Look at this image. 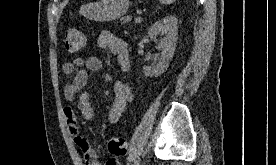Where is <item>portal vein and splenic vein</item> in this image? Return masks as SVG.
Segmentation results:
<instances>
[{
	"label": "portal vein and splenic vein",
	"mask_w": 276,
	"mask_h": 165,
	"mask_svg": "<svg viewBox=\"0 0 276 165\" xmlns=\"http://www.w3.org/2000/svg\"><path fill=\"white\" fill-rule=\"evenodd\" d=\"M142 21V18L140 16L136 17L135 18V23H139Z\"/></svg>",
	"instance_id": "obj_1"
}]
</instances>
